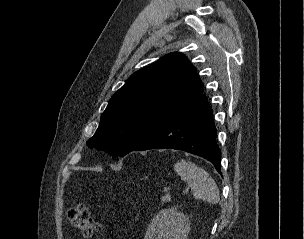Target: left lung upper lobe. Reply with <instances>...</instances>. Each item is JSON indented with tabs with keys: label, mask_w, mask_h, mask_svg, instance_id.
Segmentation results:
<instances>
[{
	"label": "left lung upper lobe",
	"mask_w": 304,
	"mask_h": 239,
	"mask_svg": "<svg viewBox=\"0 0 304 239\" xmlns=\"http://www.w3.org/2000/svg\"><path fill=\"white\" fill-rule=\"evenodd\" d=\"M203 92L196 68L171 53L130 76L112 96L89 147L124 156Z\"/></svg>",
	"instance_id": "5c2ea615"
}]
</instances>
